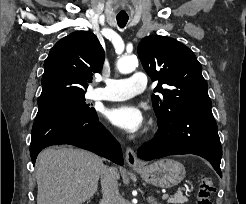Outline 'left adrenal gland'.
<instances>
[{
    "label": "left adrenal gland",
    "mask_w": 246,
    "mask_h": 204,
    "mask_svg": "<svg viewBox=\"0 0 246 204\" xmlns=\"http://www.w3.org/2000/svg\"><path fill=\"white\" fill-rule=\"evenodd\" d=\"M148 201H149V204H158L157 201L152 197H150Z\"/></svg>",
    "instance_id": "left-adrenal-gland-1"
}]
</instances>
